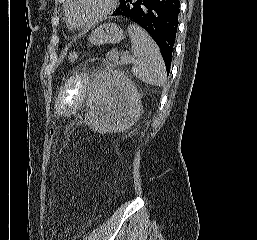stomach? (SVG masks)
I'll use <instances>...</instances> for the list:
<instances>
[{
  "label": "stomach",
  "mask_w": 257,
  "mask_h": 240,
  "mask_svg": "<svg viewBox=\"0 0 257 240\" xmlns=\"http://www.w3.org/2000/svg\"><path fill=\"white\" fill-rule=\"evenodd\" d=\"M124 38L123 31L114 23L100 25L89 35L88 41L91 45H102L105 43H119Z\"/></svg>",
  "instance_id": "1"
}]
</instances>
